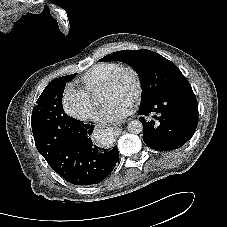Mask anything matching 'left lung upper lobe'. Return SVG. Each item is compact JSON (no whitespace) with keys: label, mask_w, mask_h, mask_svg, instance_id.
Here are the masks:
<instances>
[{"label":"left lung upper lobe","mask_w":227,"mask_h":227,"mask_svg":"<svg viewBox=\"0 0 227 227\" xmlns=\"http://www.w3.org/2000/svg\"><path fill=\"white\" fill-rule=\"evenodd\" d=\"M99 61H120L136 70L142 85L141 105L170 94L192 90L177 66L150 50H121L104 56Z\"/></svg>","instance_id":"left-lung-upper-lobe-1"}]
</instances>
